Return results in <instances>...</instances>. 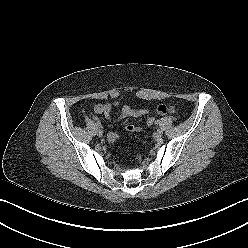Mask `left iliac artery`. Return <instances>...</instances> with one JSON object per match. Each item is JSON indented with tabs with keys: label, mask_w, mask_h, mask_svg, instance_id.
Masks as SVG:
<instances>
[{
	"label": "left iliac artery",
	"mask_w": 248,
	"mask_h": 248,
	"mask_svg": "<svg viewBox=\"0 0 248 248\" xmlns=\"http://www.w3.org/2000/svg\"><path fill=\"white\" fill-rule=\"evenodd\" d=\"M159 123V121L157 120V121H155V124H158Z\"/></svg>",
	"instance_id": "obj_1"
}]
</instances>
